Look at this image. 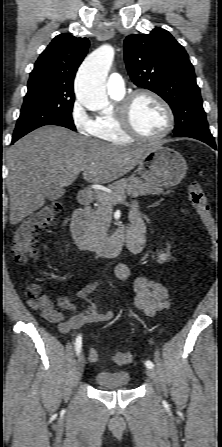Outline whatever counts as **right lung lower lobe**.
Returning <instances> with one entry per match:
<instances>
[{
  "label": "right lung lower lobe",
  "mask_w": 222,
  "mask_h": 447,
  "mask_svg": "<svg viewBox=\"0 0 222 447\" xmlns=\"http://www.w3.org/2000/svg\"><path fill=\"white\" fill-rule=\"evenodd\" d=\"M18 139L17 138H13L12 139V144L15 142V141H17Z\"/></svg>",
  "instance_id": "1"
}]
</instances>
